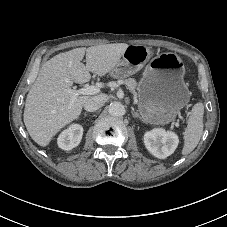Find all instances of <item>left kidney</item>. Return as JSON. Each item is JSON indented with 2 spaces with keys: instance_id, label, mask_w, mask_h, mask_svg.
<instances>
[{
  "instance_id": "1",
  "label": "left kidney",
  "mask_w": 227,
  "mask_h": 227,
  "mask_svg": "<svg viewBox=\"0 0 227 227\" xmlns=\"http://www.w3.org/2000/svg\"><path fill=\"white\" fill-rule=\"evenodd\" d=\"M179 143L178 135L162 128H155L144 134V144L147 150L159 159H165L173 154Z\"/></svg>"
}]
</instances>
